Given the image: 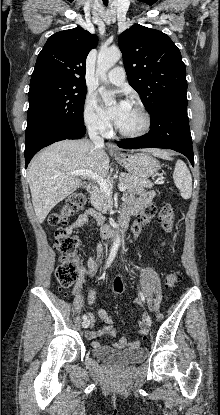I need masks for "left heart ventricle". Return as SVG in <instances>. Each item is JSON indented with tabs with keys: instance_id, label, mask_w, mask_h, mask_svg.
I'll use <instances>...</instances> for the list:
<instances>
[{
	"instance_id": "b2bd125f",
	"label": "left heart ventricle",
	"mask_w": 220,
	"mask_h": 415,
	"mask_svg": "<svg viewBox=\"0 0 220 415\" xmlns=\"http://www.w3.org/2000/svg\"><path fill=\"white\" fill-rule=\"evenodd\" d=\"M142 125V115L134 106L129 104L128 111L123 120L118 124V127L127 131H135L140 129Z\"/></svg>"
}]
</instances>
